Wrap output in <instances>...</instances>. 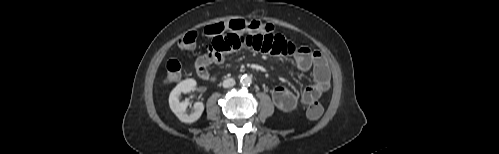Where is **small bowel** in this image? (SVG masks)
I'll return each mask as SVG.
<instances>
[{"label":"small bowel","mask_w":499,"mask_h":154,"mask_svg":"<svg viewBox=\"0 0 499 154\" xmlns=\"http://www.w3.org/2000/svg\"><path fill=\"white\" fill-rule=\"evenodd\" d=\"M241 49H252L275 57H291L300 70H312L314 82L308 85L300 96L284 86L273 89V102L281 111L289 112L299 105H309L330 87V70L323 54L307 46L298 45L278 33L228 31L213 37L206 46V52L195 62L198 76L203 80H212L213 76L208 67L212 64H222L227 54Z\"/></svg>","instance_id":"c3829d8e"}]
</instances>
